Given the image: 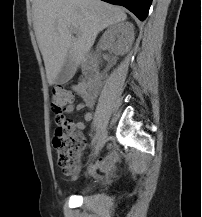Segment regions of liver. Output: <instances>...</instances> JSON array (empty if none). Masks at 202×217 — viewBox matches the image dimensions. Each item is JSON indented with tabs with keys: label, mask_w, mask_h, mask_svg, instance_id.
Instances as JSON below:
<instances>
[{
	"label": "liver",
	"mask_w": 202,
	"mask_h": 217,
	"mask_svg": "<svg viewBox=\"0 0 202 217\" xmlns=\"http://www.w3.org/2000/svg\"><path fill=\"white\" fill-rule=\"evenodd\" d=\"M32 8L33 27L50 85L68 56L74 58L76 66L81 65L98 33L127 18L122 8L101 0H34ZM71 28L77 30V38Z\"/></svg>",
	"instance_id": "6515ba94"
}]
</instances>
